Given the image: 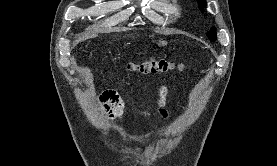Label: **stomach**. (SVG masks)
<instances>
[{"instance_id": "stomach-1", "label": "stomach", "mask_w": 277, "mask_h": 166, "mask_svg": "<svg viewBox=\"0 0 277 166\" xmlns=\"http://www.w3.org/2000/svg\"><path fill=\"white\" fill-rule=\"evenodd\" d=\"M159 46H166L167 45V42L164 41V40H159L156 42Z\"/></svg>"}]
</instances>
